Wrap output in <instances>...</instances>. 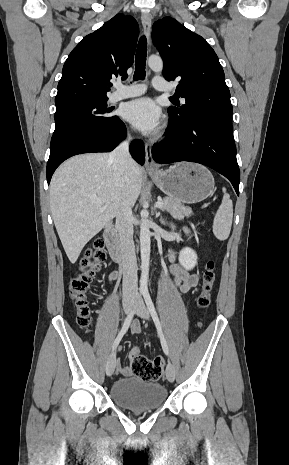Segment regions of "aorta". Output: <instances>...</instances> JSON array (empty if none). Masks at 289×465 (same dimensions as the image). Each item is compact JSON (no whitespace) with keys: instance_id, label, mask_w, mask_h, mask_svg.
I'll return each mask as SVG.
<instances>
[{"instance_id":"1","label":"aorta","mask_w":289,"mask_h":465,"mask_svg":"<svg viewBox=\"0 0 289 465\" xmlns=\"http://www.w3.org/2000/svg\"><path fill=\"white\" fill-rule=\"evenodd\" d=\"M149 67L160 72L163 69V61L159 56L152 55L148 59ZM149 212L146 209L141 211V226H140V251H141V278L140 290L147 291L148 289V272L150 261V230L148 227Z\"/></svg>"}]
</instances>
